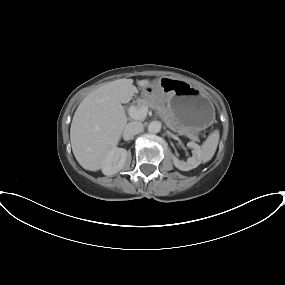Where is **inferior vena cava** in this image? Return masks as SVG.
Segmentation results:
<instances>
[{
	"label": "inferior vena cava",
	"instance_id": "602c4592",
	"mask_svg": "<svg viewBox=\"0 0 285 285\" xmlns=\"http://www.w3.org/2000/svg\"><path fill=\"white\" fill-rule=\"evenodd\" d=\"M144 129V126L141 122L139 121H132L129 122L125 129H124V133L126 136H128L129 138L141 133Z\"/></svg>",
	"mask_w": 285,
	"mask_h": 285
}]
</instances>
